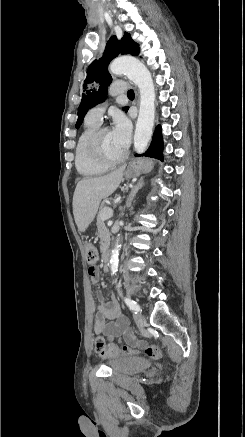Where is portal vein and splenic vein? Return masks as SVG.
Returning a JSON list of instances; mask_svg holds the SVG:
<instances>
[{
	"instance_id": "portal-vein-and-splenic-vein-1",
	"label": "portal vein and splenic vein",
	"mask_w": 245,
	"mask_h": 437,
	"mask_svg": "<svg viewBox=\"0 0 245 437\" xmlns=\"http://www.w3.org/2000/svg\"><path fill=\"white\" fill-rule=\"evenodd\" d=\"M120 199H121V197H118L117 200H116V202L120 201ZM112 215H113V213H107V214L105 215V217H106V218H109V217L112 216Z\"/></svg>"
}]
</instances>
